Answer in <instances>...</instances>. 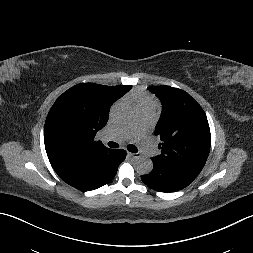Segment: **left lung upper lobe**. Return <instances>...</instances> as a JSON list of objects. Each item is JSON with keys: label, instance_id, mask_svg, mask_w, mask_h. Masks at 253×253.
I'll return each mask as SVG.
<instances>
[{"label": "left lung upper lobe", "instance_id": "obj_1", "mask_svg": "<svg viewBox=\"0 0 253 253\" xmlns=\"http://www.w3.org/2000/svg\"><path fill=\"white\" fill-rule=\"evenodd\" d=\"M162 102L155 133L161 155L154 161L198 175L210 151L211 134L206 114L185 91L169 86L148 88Z\"/></svg>", "mask_w": 253, "mask_h": 253}]
</instances>
